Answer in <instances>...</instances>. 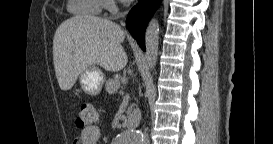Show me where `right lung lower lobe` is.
<instances>
[{
  "instance_id": "1",
  "label": "right lung lower lobe",
  "mask_w": 273,
  "mask_h": 144,
  "mask_svg": "<svg viewBox=\"0 0 273 144\" xmlns=\"http://www.w3.org/2000/svg\"><path fill=\"white\" fill-rule=\"evenodd\" d=\"M161 0H139L138 4L131 9L127 16V28L138 36L139 46L145 50L144 31L149 19L160 5Z\"/></svg>"
}]
</instances>
